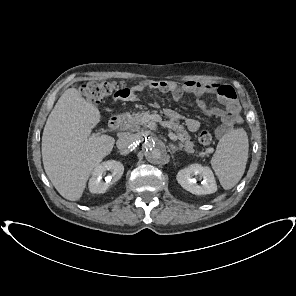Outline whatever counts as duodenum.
<instances>
[{
    "label": "duodenum",
    "instance_id": "duodenum-1",
    "mask_svg": "<svg viewBox=\"0 0 296 296\" xmlns=\"http://www.w3.org/2000/svg\"><path fill=\"white\" fill-rule=\"evenodd\" d=\"M121 121H122V115L121 114L113 115L109 120V128L112 131L118 130V128H119V126L121 124Z\"/></svg>",
    "mask_w": 296,
    "mask_h": 296
}]
</instances>
